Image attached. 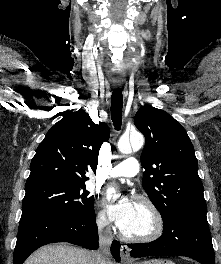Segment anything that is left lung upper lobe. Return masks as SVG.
<instances>
[{"label": "left lung upper lobe", "instance_id": "1", "mask_svg": "<svg viewBox=\"0 0 221 264\" xmlns=\"http://www.w3.org/2000/svg\"><path fill=\"white\" fill-rule=\"evenodd\" d=\"M134 124L145 136L143 188L162 219L206 216L198 162L185 129L167 112L141 107Z\"/></svg>", "mask_w": 221, "mask_h": 264}]
</instances>
